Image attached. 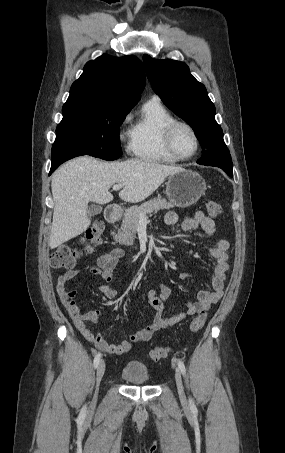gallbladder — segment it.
Returning <instances> with one entry per match:
<instances>
[{"mask_svg": "<svg viewBox=\"0 0 285 453\" xmlns=\"http://www.w3.org/2000/svg\"><path fill=\"white\" fill-rule=\"evenodd\" d=\"M102 212V207L98 205H92L88 209V215L89 217L95 216L97 214H100Z\"/></svg>", "mask_w": 285, "mask_h": 453, "instance_id": "gallbladder-1", "label": "gallbladder"}]
</instances>
